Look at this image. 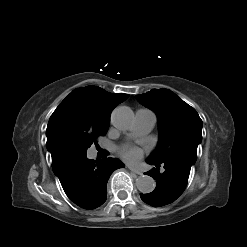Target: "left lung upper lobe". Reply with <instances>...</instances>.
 Returning <instances> with one entry per match:
<instances>
[{
	"mask_svg": "<svg viewBox=\"0 0 247 247\" xmlns=\"http://www.w3.org/2000/svg\"><path fill=\"white\" fill-rule=\"evenodd\" d=\"M158 117L159 143L149 159L162 163L178 160L192 166L202 140V120L196 110L168 89H152L135 96Z\"/></svg>",
	"mask_w": 247,
	"mask_h": 247,
	"instance_id": "obj_1",
	"label": "left lung upper lobe"
}]
</instances>
